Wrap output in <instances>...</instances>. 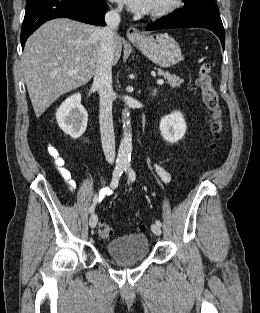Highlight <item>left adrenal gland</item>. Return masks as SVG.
Here are the masks:
<instances>
[{"instance_id": "left-adrenal-gland-1", "label": "left adrenal gland", "mask_w": 260, "mask_h": 313, "mask_svg": "<svg viewBox=\"0 0 260 313\" xmlns=\"http://www.w3.org/2000/svg\"><path fill=\"white\" fill-rule=\"evenodd\" d=\"M156 94V89H153V94L152 95H155Z\"/></svg>"}]
</instances>
